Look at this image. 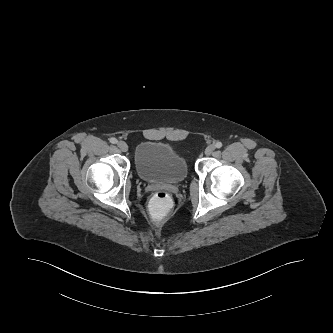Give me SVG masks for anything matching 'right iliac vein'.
I'll return each instance as SVG.
<instances>
[{
	"instance_id": "right-iliac-vein-1",
	"label": "right iliac vein",
	"mask_w": 333,
	"mask_h": 333,
	"mask_svg": "<svg viewBox=\"0 0 333 333\" xmlns=\"http://www.w3.org/2000/svg\"><path fill=\"white\" fill-rule=\"evenodd\" d=\"M117 147L122 151V152H127L128 151V145L124 141H119L117 142Z\"/></svg>"
}]
</instances>
